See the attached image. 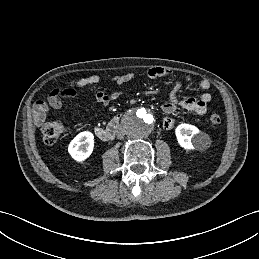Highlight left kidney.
Instances as JSON below:
<instances>
[{"instance_id":"1","label":"left kidney","mask_w":259,"mask_h":259,"mask_svg":"<svg viewBox=\"0 0 259 259\" xmlns=\"http://www.w3.org/2000/svg\"><path fill=\"white\" fill-rule=\"evenodd\" d=\"M175 134L179 145L186 150L200 146V140L205 136L197 127L186 123L177 126Z\"/></svg>"}]
</instances>
